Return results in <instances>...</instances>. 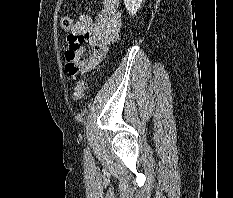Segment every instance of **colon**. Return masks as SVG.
<instances>
[{
	"label": "colon",
	"instance_id": "1",
	"mask_svg": "<svg viewBox=\"0 0 233 198\" xmlns=\"http://www.w3.org/2000/svg\"><path fill=\"white\" fill-rule=\"evenodd\" d=\"M61 27L64 31H70V29L73 26V20L68 17L64 16L61 18L60 21ZM66 70L69 75H75L78 72V65L75 61V56L72 52H69L67 54V59H66ZM86 91V84L84 81H78L75 87V92L74 96L77 100H80L83 98L84 94Z\"/></svg>",
	"mask_w": 233,
	"mask_h": 198
}]
</instances>
